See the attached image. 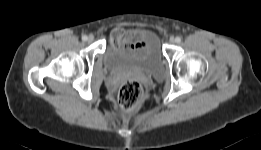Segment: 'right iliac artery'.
I'll return each mask as SVG.
<instances>
[{
	"label": "right iliac artery",
	"instance_id": "82829eb1",
	"mask_svg": "<svg viewBox=\"0 0 261 150\" xmlns=\"http://www.w3.org/2000/svg\"><path fill=\"white\" fill-rule=\"evenodd\" d=\"M88 37L86 35L82 36L83 41H87Z\"/></svg>",
	"mask_w": 261,
	"mask_h": 150
}]
</instances>
